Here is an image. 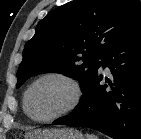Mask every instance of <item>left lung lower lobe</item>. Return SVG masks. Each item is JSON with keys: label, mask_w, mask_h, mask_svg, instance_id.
Here are the masks:
<instances>
[{"label": "left lung lower lobe", "mask_w": 141, "mask_h": 139, "mask_svg": "<svg viewBox=\"0 0 141 139\" xmlns=\"http://www.w3.org/2000/svg\"><path fill=\"white\" fill-rule=\"evenodd\" d=\"M100 66H108L112 81L97 71L72 113L53 124L86 126L116 139H141V26L113 45ZM99 66V67H100Z\"/></svg>", "instance_id": "0a47b994"}]
</instances>
